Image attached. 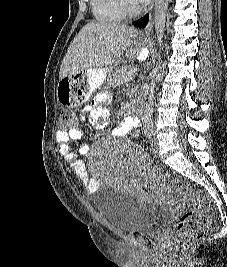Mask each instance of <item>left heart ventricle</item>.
<instances>
[{
    "instance_id": "left-heart-ventricle-1",
    "label": "left heart ventricle",
    "mask_w": 227,
    "mask_h": 267,
    "mask_svg": "<svg viewBox=\"0 0 227 267\" xmlns=\"http://www.w3.org/2000/svg\"><path fill=\"white\" fill-rule=\"evenodd\" d=\"M133 5H135L131 0H129Z\"/></svg>"
}]
</instances>
